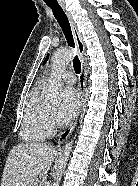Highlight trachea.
Instances as JSON below:
<instances>
[{
  "instance_id": "1",
  "label": "trachea",
  "mask_w": 138,
  "mask_h": 186,
  "mask_svg": "<svg viewBox=\"0 0 138 186\" xmlns=\"http://www.w3.org/2000/svg\"><path fill=\"white\" fill-rule=\"evenodd\" d=\"M46 4L53 11L55 18H56L57 22L59 23V25H60V27L66 37L68 45L70 47L74 48L75 44H74L72 31H71V27H70V23L67 18V15L65 14V12L63 11V9L61 8V6L59 5V3L57 1L56 2H46ZM73 67H74L75 73L80 74L81 63H80V60L77 55L73 59Z\"/></svg>"
}]
</instances>
